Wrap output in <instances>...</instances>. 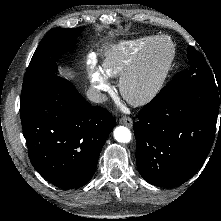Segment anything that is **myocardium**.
<instances>
[{
    "instance_id": "f54148a6",
    "label": "myocardium",
    "mask_w": 221,
    "mask_h": 221,
    "mask_svg": "<svg viewBox=\"0 0 221 221\" xmlns=\"http://www.w3.org/2000/svg\"><path fill=\"white\" fill-rule=\"evenodd\" d=\"M160 45L166 46L165 58L157 70L155 76L144 86L148 69L153 60L154 54ZM175 58V46L167 36H158L145 50L141 60L120 80V91L122 96L131 104L140 106L149 103L161 91L171 70Z\"/></svg>"
}]
</instances>
